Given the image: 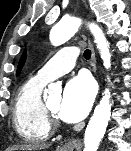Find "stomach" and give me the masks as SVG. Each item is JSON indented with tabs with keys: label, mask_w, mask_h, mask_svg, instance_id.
Returning <instances> with one entry per match:
<instances>
[{
	"label": "stomach",
	"mask_w": 131,
	"mask_h": 151,
	"mask_svg": "<svg viewBox=\"0 0 131 151\" xmlns=\"http://www.w3.org/2000/svg\"><path fill=\"white\" fill-rule=\"evenodd\" d=\"M61 151H66V149L62 148ZM68 151H72V149L70 148V149H68Z\"/></svg>",
	"instance_id": "stomach-1"
}]
</instances>
